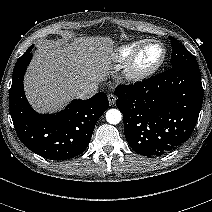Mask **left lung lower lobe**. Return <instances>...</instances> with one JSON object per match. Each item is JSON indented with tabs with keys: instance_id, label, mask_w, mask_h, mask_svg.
<instances>
[{
	"instance_id": "0a47b994",
	"label": "left lung lower lobe",
	"mask_w": 212,
	"mask_h": 212,
	"mask_svg": "<svg viewBox=\"0 0 212 212\" xmlns=\"http://www.w3.org/2000/svg\"><path fill=\"white\" fill-rule=\"evenodd\" d=\"M115 94L127 142L144 156H160L187 141L203 102L198 64L170 68L134 85H119Z\"/></svg>"
}]
</instances>
